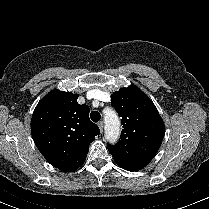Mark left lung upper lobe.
Masks as SVG:
<instances>
[{"instance_id":"1","label":"left lung upper lobe","mask_w":209,"mask_h":209,"mask_svg":"<svg viewBox=\"0 0 209 209\" xmlns=\"http://www.w3.org/2000/svg\"><path fill=\"white\" fill-rule=\"evenodd\" d=\"M111 104L122 117L121 140L107 148L114 160L147 165L160 148L165 126L153 102L137 86L114 92Z\"/></svg>"}]
</instances>
